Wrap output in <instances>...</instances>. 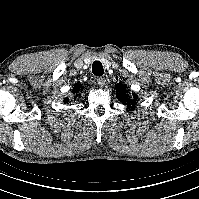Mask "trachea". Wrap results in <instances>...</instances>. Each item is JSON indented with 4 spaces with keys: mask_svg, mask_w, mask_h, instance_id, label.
Wrapping results in <instances>:
<instances>
[{
    "mask_svg": "<svg viewBox=\"0 0 199 199\" xmlns=\"http://www.w3.org/2000/svg\"><path fill=\"white\" fill-rule=\"evenodd\" d=\"M92 72L96 76H102L103 75L104 69H103V66H102L101 62L95 61L93 63V65H92Z\"/></svg>",
    "mask_w": 199,
    "mask_h": 199,
    "instance_id": "1",
    "label": "trachea"
}]
</instances>
